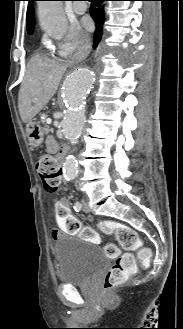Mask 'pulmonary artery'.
Listing matches in <instances>:
<instances>
[{"label": "pulmonary artery", "instance_id": "e3ab8cb5", "mask_svg": "<svg viewBox=\"0 0 183 329\" xmlns=\"http://www.w3.org/2000/svg\"><path fill=\"white\" fill-rule=\"evenodd\" d=\"M73 11L76 13V14H83L87 11V5L85 3H76L74 6H73Z\"/></svg>", "mask_w": 183, "mask_h": 329}]
</instances>
